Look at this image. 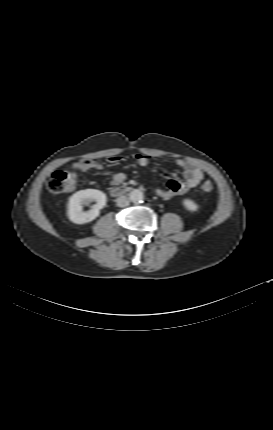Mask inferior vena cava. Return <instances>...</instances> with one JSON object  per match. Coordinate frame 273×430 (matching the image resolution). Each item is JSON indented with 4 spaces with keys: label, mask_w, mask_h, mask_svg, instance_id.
Segmentation results:
<instances>
[{
    "label": "inferior vena cava",
    "mask_w": 273,
    "mask_h": 430,
    "mask_svg": "<svg viewBox=\"0 0 273 430\" xmlns=\"http://www.w3.org/2000/svg\"><path fill=\"white\" fill-rule=\"evenodd\" d=\"M118 207H127L129 205V199L126 196H120L116 200Z\"/></svg>",
    "instance_id": "602c4592"
}]
</instances>
